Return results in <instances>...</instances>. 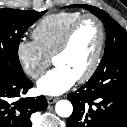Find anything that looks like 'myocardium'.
Returning a JSON list of instances; mask_svg holds the SVG:
<instances>
[{"label":"myocardium","mask_w":127,"mask_h":127,"mask_svg":"<svg viewBox=\"0 0 127 127\" xmlns=\"http://www.w3.org/2000/svg\"><path fill=\"white\" fill-rule=\"evenodd\" d=\"M85 20H93L97 24V26L99 28V43H98L97 50L94 54L93 60L90 64L89 68L80 77L77 78L78 82H85V81L89 80L93 76V74L95 73V71L97 70V68L100 64L102 53H103L104 46H105V40H106V32H105V27H104L102 20L93 14L81 15L67 29L61 42L59 43L58 47L56 48L55 52L52 55V61L54 63L58 57H60L67 51V49L69 48V45L71 43V40L73 38V35L75 34L77 28Z\"/></svg>","instance_id":"obj_1"}]
</instances>
